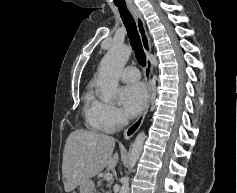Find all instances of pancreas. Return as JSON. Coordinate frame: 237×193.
<instances>
[{
    "label": "pancreas",
    "mask_w": 237,
    "mask_h": 193,
    "mask_svg": "<svg viewBox=\"0 0 237 193\" xmlns=\"http://www.w3.org/2000/svg\"><path fill=\"white\" fill-rule=\"evenodd\" d=\"M98 186L101 187L102 193H111L110 188H111V183H107L106 186L104 187L102 180L98 182ZM98 193V192H96Z\"/></svg>",
    "instance_id": "1"
}]
</instances>
